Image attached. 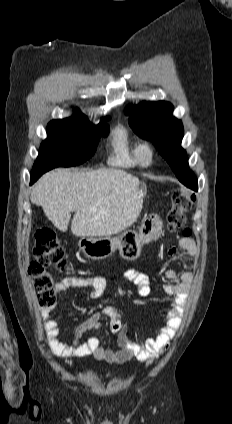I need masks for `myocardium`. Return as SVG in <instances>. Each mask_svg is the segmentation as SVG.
Listing matches in <instances>:
<instances>
[{
    "label": "myocardium",
    "instance_id": "obj_1",
    "mask_svg": "<svg viewBox=\"0 0 232 424\" xmlns=\"http://www.w3.org/2000/svg\"><path fill=\"white\" fill-rule=\"evenodd\" d=\"M138 157L142 165H150L154 157L153 147L149 143H142L139 146Z\"/></svg>",
    "mask_w": 232,
    "mask_h": 424
}]
</instances>
